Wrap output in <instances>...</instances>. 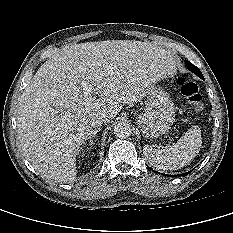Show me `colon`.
Masks as SVG:
<instances>
[{"label":"colon","instance_id":"colon-1","mask_svg":"<svg viewBox=\"0 0 233 233\" xmlns=\"http://www.w3.org/2000/svg\"><path fill=\"white\" fill-rule=\"evenodd\" d=\"M176 83L180 87L182 95L186 98L193 109L199 111L203 108V99L198 86L184 76H178Z\"/></svg>","mask_w":233,"mask_h":233}]
</instances>
